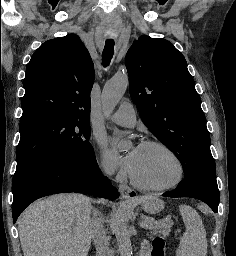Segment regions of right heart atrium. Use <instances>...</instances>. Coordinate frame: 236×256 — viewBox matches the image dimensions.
I'll return each mask as SVG.
<instances>
[{
  "label": "right heart atrium",
  "mask_w": 236,
  "mask_h": 256,
  "mask_svg": "<svg viewBox=\"0 0 236 256\" xmlns=\"http://www.w3.org/2000/svg\"><path fill=\"white\" fill-rule=\"evenodd\" d=\"M100 167L107 177L115 176L117 181H122L125 178L124 171L118 170L117 165L106 152L101 154Z\"/></svg>",
  "instance_id": "right-heart-atrium-1"
}]
</instances>
